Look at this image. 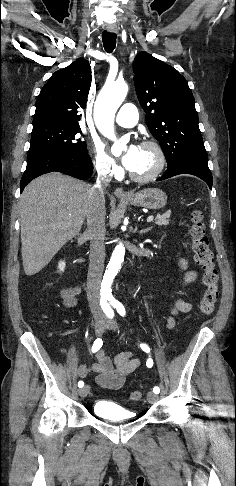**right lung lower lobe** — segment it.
Returning <instances> with one entry per match:
<instances>
[{
  "mask_svg": "<svg viewBox=\"0 0 236 486\" xmlns=\"http://www.w3.org/2000/svg\"><path fill=\"white\" fill-rule=\"evenodd\" d=\"M93 170L87 153L58 152L50 150L32 151L27 156V167L21 178V192L34 178L49 172H61L86 180Z\"/></svg>",
  "mask_w": 236,
  "mask_h": 486,
  "instance_id": "obj_1",
  "label": "right lung lower lobe"
}]
</instances>
